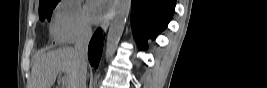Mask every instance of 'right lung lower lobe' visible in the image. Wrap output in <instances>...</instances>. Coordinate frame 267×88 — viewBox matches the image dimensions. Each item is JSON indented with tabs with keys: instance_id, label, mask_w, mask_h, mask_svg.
Here are the masks:
<instances>
[{
	"instance_id": "1",
	"label": "right lung lower lobe",
	"mask_w": 267,
	"mask_h": 88,
	"mask_svg": "<svg viewBox=\"0 0 267 88\" xmlns=\"http://www.w3.org/2000/svg\"><path fill=\"white\" fill-rule=\"evenodd\" d=\"M102 41H103V31L99 28L93 35L89 48H88V58L90 64L95 68L98 67L99 61L102 54Z\"/></svg>"
}]
</instances>
